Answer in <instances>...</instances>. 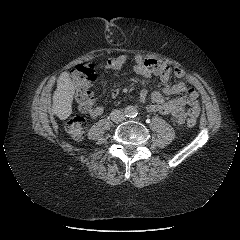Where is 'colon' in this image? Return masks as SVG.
I'll list each match as a JSON object with an SVG mask.
<instances>
[{
    "mask_svg": "<svg viewBox=\"0 0 240 240\" xmlns=\"http://www.w3.org/2000/svg\"><path fill=\"white\" fill-rule=\"evenodd\" d=\"M71 79L76 91V100L82 112L89 113L93 109V96L89 91L95 81L94 68L91 64L75 65L70 72ZM187 126L194 127L197 123L195 118L187 119ZM86 129V120L82 116H72L66 122L67 133L76 141L83 139Z\"/></svg>",
    "mask_w": 240,
    "mask_h": 240,
    "instance_id": "5ec220e1",
    "label": "colon"
}]
</instances>
